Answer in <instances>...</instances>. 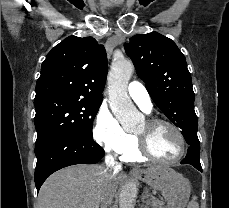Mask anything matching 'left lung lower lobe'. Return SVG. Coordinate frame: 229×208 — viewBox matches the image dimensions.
Returning <instances> with one entry per match:
<instances>
[{
  "instance_id": "0a47b994",
  "label": "left lung lower lobe",
  "mask_w": 229,
  "mask_h": 208,
  "mask_svg": "<svg viewBox=\"0 0 229 208\" xmlns=\"http://www.w3.org/2000/svg\"><path fill=\"white\" fill-rule=\"evenodd\" d=\"M182 134L190 147L188 148L186 157L181 161V164H190L202 172L200 164V143L197 137V131L191 130Z\"/></svg>"
}]
</instances>
